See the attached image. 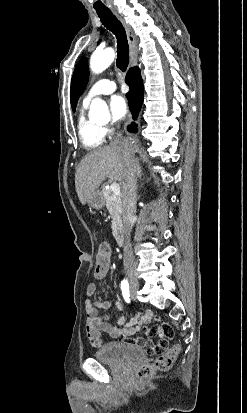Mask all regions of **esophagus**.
<instances>
[{"label":"esophagus","mask_w":247,"mask_h":413,"mask_svg":"<svg viewBox=\"0 0 247 413\" xmlns=\"http://www.w3.org/2000/svg\"><path fill=\"white\" fill-rule=\"evenodd\" d=\"M114 14L116 15L117 18H119L120 22L123 24L126 30V35H127L129 50H130V65H136L138 58H139L137 41L133 35L131 28L125 23L123 18H121L120 15L117 14L116 12H114Z\"/></svg>","instance_id":"esophagus-1"}]
</instances>
